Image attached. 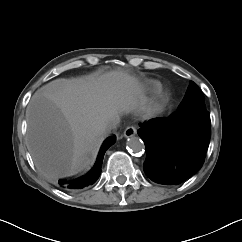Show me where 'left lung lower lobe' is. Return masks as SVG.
<instances>
[{
	"label": "left lung lower lobe",
	"mask_w": 242,
	"mask_h": 242,
	"mask_svg": "<svg viewBox=\"0 0 242 242\" xmlns=\"http://www.w3.org/2000/svg\"><path fill=\"white\" fill-rule=\"evenodd\" d=\"M139 125L137 132L146 148L143 169L152 181L177 185L202 167L210 141L206 109L176 112Z\"/></svg>",
	"instance_id": "0a47b994"
}]
</instances>
